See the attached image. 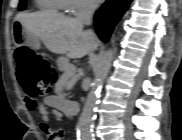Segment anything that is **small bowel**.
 <instances>
[{
	"label": "small bowel",
	"instance_id": "c3829d8e",
	"mask_svg": "<svg viewBox=\"0 0 182 140\" xmlns=\"http://www.w3.org/2000/svg\"><path fill=\"white\" fill-rule=\"evenodd\" d=\"M26 107L29 111L37 110L41 116L39 123V129L47 137V140H62L63 135L61 130L54 129L50 126L51 119L48 107L43 103H32L28 99H25Z\"/></svg>",
	"mask_w": 182,
	"mask_h": 140
}]
</instances>
